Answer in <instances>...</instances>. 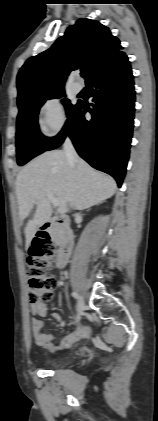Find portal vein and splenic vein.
Segmentation results:
<instances>
[{
	"instance_id": "obj_1",
	"label": "portal vein and splenic vein",
	"mask_w": 158,
	"mask_h": 421,
	"mask_svg": "<svg viewBox=\"0 0 158 421\" xmlns=\"http://www.w3.org/2000/svg\"><path fill=\"white\" fill-rule=\"evenodd\" d=\"M46 196L48 198V200L54 205V206H59L60 205V201L50 192L46 193Z\"/></svg>"
}]
</instances>
